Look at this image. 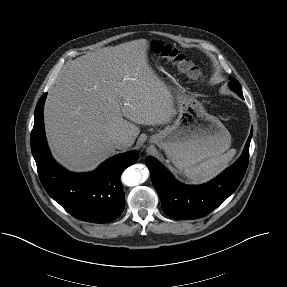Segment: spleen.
Listing matches in <instances>:
<instances>
[{"label":"spleen","instance_id":"3e777b00","mask_svg":"<svg viewBox=\"0 0 287 287\" xmlns=\"http://www.w3.org/2000/svg\"><path fill=\"white\" fill-rule=\"evenodd\" d=\"M236 154V149H230L223 155L210 158L197 166L186 168L184 173L194 183H205L221 173Z\"/></svg>","mask_w":287,"mask_h":287}]
</instances>
